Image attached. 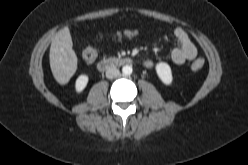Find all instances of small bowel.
Returning a JSON list of instances; mask_svg holds the SVG:
<instances>
[{"mask_svg":"<svg viewBox=\"0 0 248 165\" xmlns=\"http://www.w3.org/2000/svg\"><path fill=\"white\" fill-rule=\"evenodd\" d=\"M173 35L178 42V46L171 51L170 59L175 65H182L187 61H192L197 56V49L193 44L189 34L181 29L177 28L174 30ZM136 36L135 31H127L117 35V39H131ZM144 66L152 68L154 62L146 60Z\"/></svg>","mask_w":248,"mask_h":165,"instance_id":"c3829d8e","label":"small bowel"}]
</instances>
